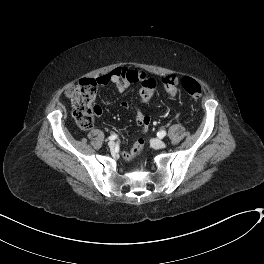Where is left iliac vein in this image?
Returning <instances> with one entry per match:
<instances>
[{
	"label": "left iliac vein",
	"mask_w": 264,
	"mask_h": 264,
	"mask_svg": "<svg viewBox=\"0 0 264 264\" xmlns=\"http://www.w3.org/2000/svg\"><path fill=\"white\" fill-rule=\"evenodd\" d=\"M151 144L154 148H164L166 146V143L159 139H152Z\"/></svg>",
	"instance_id": "obj_1"
}]
</instances>
